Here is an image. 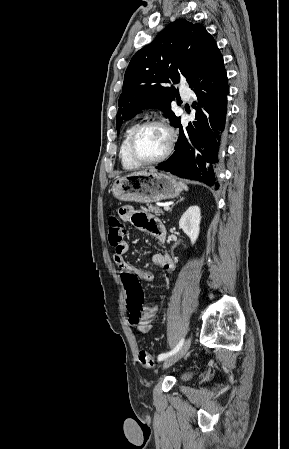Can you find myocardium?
Returning a JSON list of instances; mask_svg holds the SVG:
<instances>
[{
    "label": "myocardium",
    "instance_id": "1",
    "mask_svg": "<svg viewBox=\"0 0 289 449\" xmlns=\"http://www.w3.org/2000/svg\"><path fill=\"white\" fill-rule=\"evenodd\" d=\"M148 126H159L161 127L167 134L168 142L167 147L162 155L152 160H142L138 157L135 149V143L137 136L139 133ZM176 141V134L172 126L161 117H154L147 119L141 123H139L133 130L130 139H129V152L131 158L139 165H153L164 161L166 158L170 156L172 153Z\"/></svg>",
    "mask_w": 289,
    "mask_h": 449
}]
</instances>
